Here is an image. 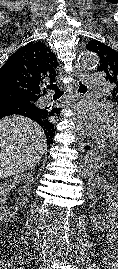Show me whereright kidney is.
<instances>
[{"label":"right kidney","mask_w":118,"mask_h":269,"mask_svg":"<svg viewBox=\"0 0 118 269\" xmlns=\"http://www.w3.org/2000/svg\"><path fill=\"white\" fill-rule=\"evenodd\" d=\"M34 179L28 174H19L13 176L9 180H5L3 184L0 185V221L1 222H10L16 215L17 208L15 210L6 205L7 196L10 191L20 183L24 184V191L29 193V187H31ZM24 202H27V199L24 198Z\"/></svg>","instance_id":"ca27d5eb"}]
</instances>
